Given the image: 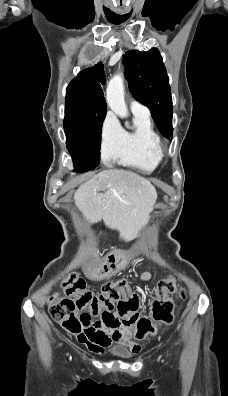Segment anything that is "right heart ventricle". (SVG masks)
<instances>
[{
	"label": "right heart ventricle",
	"mask_w": 228,
	"mask_h": 396,
	"mask_svg": "<svg viewBox=\"0 0 228 396\" xmlns=\"http://www.w3.org/2000/svg\"><path fill=\"white\" fill-rule=\"evenodd\" d=\"M161 140L148 114H134L133 127L123 130L116 161L144 173L153 172L162 160Z\"/></svg>",
	"instance_id": "obj_1"
}]
</instances>
